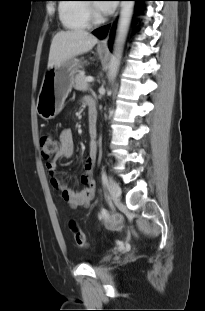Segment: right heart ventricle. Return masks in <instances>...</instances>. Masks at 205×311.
Returning a JSON list of instances; mask_svg holds the SVG:
<instances>
[{
  "instance_id": "1",
  "label": "right heart ventricle",
  "mask_w": 205,
  "mask_h": 311,
  "mask_svg": "<svg viewBox=\"0 0 205 311\" xmlns=\"http://www.w3.org/2000/svg\"><path fill=\"white\" fill-rule=\"evenodd\" d=\"M79 2L83 0H64ZM59 17L66 29L83 30L90 25L89 7L82 3H62L59 5Z\"/></svg>"
}]
</instances>
